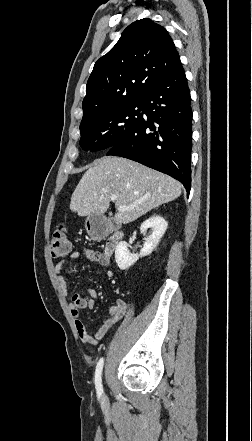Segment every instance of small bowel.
Returning a JSON list of instances; mask_svg holds the SVG:
<instances>
[{
    "label": "small bowel",
    "instance_id": "obj_1",
    "mask_svg": "<svg viewBox=\"0 0 252 441\" xmlns=\"http://www.w3.org/2000/svg\"><path fill=\"white\" fill-rule=\"evenodd\" d=\"M83 256L90 262L98 263L102 266L109 264V259L102 253L96 252L92 249L82 248L81 252H72L66 258L61 259L55 266V273L57 275V281L59 287L64 296L68 295L67 283L64 277L61 275L64 266L68 262H73ZM89 296H84L80 293H74L71 296L70 310L75 320V327L83 340L88 343L96 344L100 341L105 334L111 329L126 313V303L122 299H116L115 305L110 308L109 314L102 322L100 328L94 335H89L84 323L80 319L81 314L87 309H93L95 307L97 299V291L90 287H84Z\"/></svg>",
    "mask_w": 252,
    "mask_h": 441
}]
</instances>
